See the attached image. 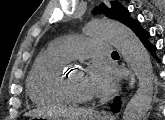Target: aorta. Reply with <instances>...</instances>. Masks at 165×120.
<instances>
[{"instance_id":"aorta-1","label":"aorta","mask_w":165,"mask_h":120,"mask_svg":"<svg viewBox=\"0 0 165 120\" xmlns=\"http://www.w3.org/2000/svg\"><path fill=\"white\" fill-rule=\"evenodd\" d=\"M93 37L110 40L129 63L139 81V87L127 104L124 120H142L153 97V68L144 45L124 24L109 19H94L87 26Z\"/></svg>"}]
</instances>
